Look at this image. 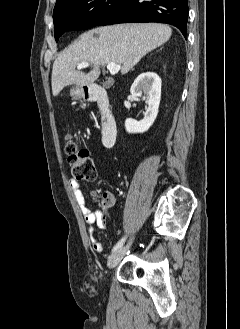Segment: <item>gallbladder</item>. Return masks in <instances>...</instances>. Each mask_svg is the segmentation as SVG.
Masks as SVG:
<instances>
[{"label": "gallbladder", "mask_w": 240, "mask_h": 329, "mask_svg": "<svg viewBox=\"0 0 240 329\" xmlns=\"http://www.w3.org/2000/svg\"><path fill=\"white\" fill-rule=\"evenodd\" d=\"M103 86H104V87H107V86H108V83H107V82H105V83L103 84Z\"/></svg>", "instance_id": "bac80fb5"}]
</instances>
